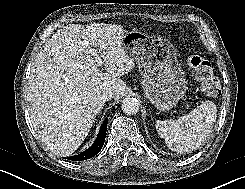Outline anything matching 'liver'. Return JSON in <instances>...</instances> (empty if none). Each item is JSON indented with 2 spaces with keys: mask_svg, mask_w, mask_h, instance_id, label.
<instances>
[{
  "mask_svg": "<svg viewBox=\"0 0 245 189\" xmlns=\"http://www.w3.org/2000/svg\"><path fill=\"white\" fill-rule=\"evenodd\" d=\"M126 33L121 25L70 24L38 52L28 81L31 120L56 155H71L83 143L104 106L105 90L111 89L114 99L124 95L122 77L134 68V59L122 46ZM90 46L101 53L106 72L94 64Z\"/></svg>",
  "mask_w": 245,
  "mask_h": 189,
  "instance_id": "obj_1",
  "label": "liver"
}]
</instances>
